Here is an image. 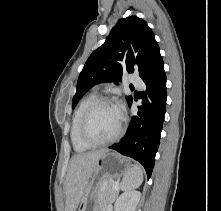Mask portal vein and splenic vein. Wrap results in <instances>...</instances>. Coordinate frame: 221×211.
Masks as SVG:
<instances>
[{
	"instance_id": "obj_1",
	"label": "portal vein and splenic vein",
	"mask_w": 221,
	"mask_h": 211,
	"mask_svg": "<svg viewBox=\"0 0 221 211\" xmlns=\"http://www.w3.org/2000/svg\"><path fill=\"white\" fill-rule=\"evenodd\" d=\"M114 188H115V189H118V188H119V182H118V181H115V182H114Z\"/></svg>"
}]
</instances>
